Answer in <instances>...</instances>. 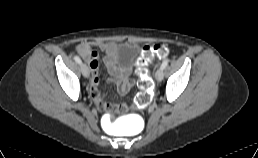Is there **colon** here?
<instances>
[{
  "label": "colon",
  "mask_w": 258,
  "mask_h": 158,
  "mask_svg": "<svg viewBox=\"0 0 258 158\" xmlns=\"http://www.w3.org/2000/svg\"><path fill=\"white\" fill-rule=\"evenodd\" d=\"M168 48L161 43L145 45L141 48L140 55L137 59V73L139 75L138 86L140 92L135 99V105L138 108L147 107L152 100L153 82L148 73V64L158 60H163L168 56ZM114 106H109L108 109H114Z\"/></svg>",
  "instance_id": "obj_1"
}]
</instances>
